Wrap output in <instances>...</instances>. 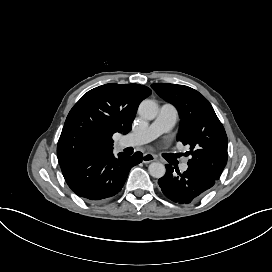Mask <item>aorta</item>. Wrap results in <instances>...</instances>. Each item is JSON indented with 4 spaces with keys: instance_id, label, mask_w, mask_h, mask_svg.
Returning <instances> with one entry per match:
<instances>
[{
    "instance_id": "762f6f07",
    "label": "aorta",
    "mask_w": 272,
    "mask_h": 272,
    "mask_svg": "<svg viewBox=\"0 0 272 272\" xmlns=\"http://www.w3.org/2000/svg\"><path fill=\"white\" fill-rule=\"evenodd\" d=\"M140 116L152 120L157 116L158 104L151 99L143 100L138 108ZM149 173L154 178H161L165 175L166 169L164 164L160 162H152L148 167Z\"/></svg>"
}]
</instances>
